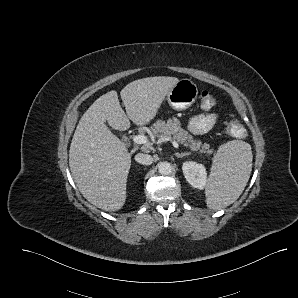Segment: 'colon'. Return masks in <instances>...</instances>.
Returning <instances> with one entry per match:
<instances>
[{
    "instance_id": "5ec220e1",
    "label": "colon",
    "mask_w": 298,
    "mask_h": 298,
    "mask_svg": "<svg viewBox=\"0 0 298 298\" xmlns=\"http://www.w3.org/2000/svg\"><path fill=\"white\" fill-rule=\"evenodd\" d=\"M199 99L203 109H210L215 105V97L208 91H202ZM225 131L235 138H244L246 136V130L242 122L235 116L228 118L225 123Z\"/></svg>"
}]
</instances>
